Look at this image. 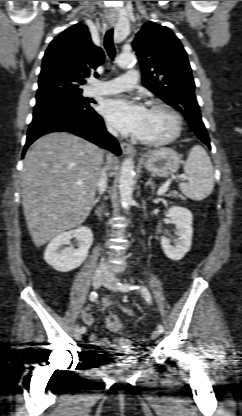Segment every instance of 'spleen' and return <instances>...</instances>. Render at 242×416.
<instances>
[{"label": "spleen", "mask_w": 242, "mask_h": 416, "mask_svg": "<svg viewBox=\"0 0 242 416\" xmlns=\"http://www.w3.org/2000/svg\"><path fill=\"white\" fill-rule=\"evenodd\" d=\"M184 171L187 182L179 184V189L184 195L200 201L211 194L214 187L213 166L202 146L192 147L184 164Z\"/></svg>", "instance_id": "spleen-1"}]
</instances>
